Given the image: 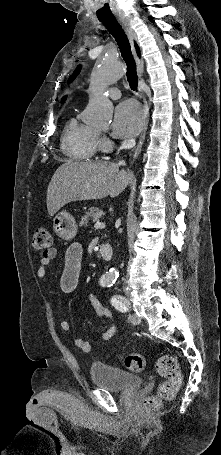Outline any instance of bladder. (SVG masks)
<instances>
[{
  "label": "bladder",
  "instance_id": "bladder-1",
  "mask_svg": "<svg viewBox=\"0 0 221 455\" xmlns=\"http://www.w3.org/2000/svg\"><path fill=\"white\" fill-rule=\"evenodd\" d=\"M89 371L94 385L111 391L129 392L143 385L140 376L106 364L93 363Z\"/></svg>",
  "mask_w": 221,
  "mask_h": 455
}]
</instances>
